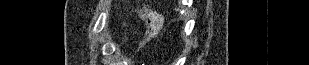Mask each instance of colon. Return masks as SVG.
<instances>
[{
  "mask_svg": "<svg viewBox=\"0 0 309 65\" xmlns=\"http://www.w3.org/2000/svg\"><path fill=\"white\" fill-rule=\"evenodd\" d=\"M136 15L139 19H141L145 23V31L141 39L137 44V48L141 49L145 46L149 41L154 39L161 28L162 19L159 14L152 11L148 6L143 5L137 11Z\"/></svg>",
  "mask_w": 309,
  "mask_h": 65,
  "instance_id": "obj_1",
  "label": "colon"
}]
</instances>
